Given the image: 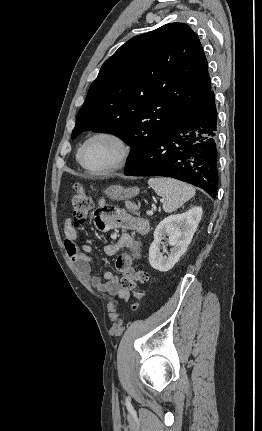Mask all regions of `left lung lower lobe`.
Returning <instances> with one entry per match:
<instances>
[{
	"label": "left lung lower lobe",
	"mask_w": 262,
	"mask_h": 431,
	"mask_svg": "<svg viewBox=\"0 0 262 431\" xmlns=\"http://www.w3.org/2000/svg\"><path fill=\"white\" fill-rule=\"evenodd\" d=\"M217 162V109L211 90L124 174L171 177L215 196Z\"/></svg>",
	"instance_id": "left-lung-lower-lobe-1"
}]
</instances>
